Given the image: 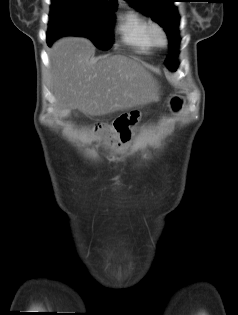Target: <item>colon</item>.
I'll return each instance as SVG.
<instances>
[{
    "label": "colon",
    "mask_w": 238,
    "mask_h": 315,
    "mask_svg": "<svg viewBox=\"0 0 238 315\" xmlns=\"http://www.w3.org/2000/svg\"><path fill=\"white\" fill-rule=\"evenodd\" d=\"M141 113L132 111L117 117L111 123L99 124L96 131L105 135L109 144H120L128 141L141 119Z\"/></svg>",
    "instance_id": "1"
}]
</instances>
